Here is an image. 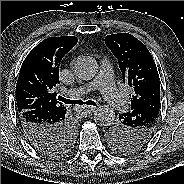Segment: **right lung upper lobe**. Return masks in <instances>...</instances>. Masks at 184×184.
Returning <instances> with one entry per match:
<instances>
[{"label":"right lung upper lobe","mask_w":184,"mask_h":184,"mask_svg":"<svg viewBox=\"0 0 184 184\" xmlns=\"http://www.w3.org/2000/svg\"><path fill=\"white\" fill-rule=\"evenodd\" d=\"M78 42L74 36L49 37L34 47L25 58L16 85V110L64 112L53 88L59 82V66L64 55Z\"/></svg>","instance_id":"cb5924a9"}]
</instances>
